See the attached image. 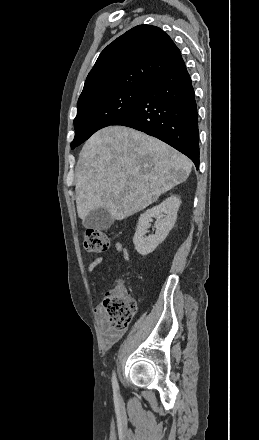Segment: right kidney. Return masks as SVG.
<instances>
[{
    "mask_svg": "<svg viewBox=\"0 0 259 440\" xmlns=\"http://www.w3.org/2000/svg\"><path fill=\"white\" fill-rule=\"evenodd\" d=\"M180 204L181 201L178 197L170 196L161 204L140 215L133 237L135 249L140 255L146 256L152 253L165 240L175 224ZM153 218L156 219L154 225L156 232L154 235L146 237L145 234Z\"/></svg>",
    "mask_w": 259,
    "mask_h": 440,
    "instance_id": "ca27d5eb",
    "label": "right kidney"
}]
</instances>
